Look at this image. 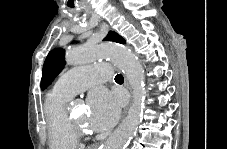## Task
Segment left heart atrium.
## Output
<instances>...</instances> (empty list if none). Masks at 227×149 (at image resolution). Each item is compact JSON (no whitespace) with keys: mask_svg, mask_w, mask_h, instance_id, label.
Masks as SVG:
<instances>
[{"mask_svg":"<svg viewBox=\"0 0 227 149\" xmlns=\"http://www.w3.org/2000/svg\"><path fill=\"white\" fill-rule=\"evenodd\" d=\"M91 117L89 119L92 129L105 131L117 121L120 113V101L110 92L97 89L92 92L89 99Z\"/></svg>","mask_w":227,"mask_h":149,"instance_id":"39dd6f15","label":"left heart atrium"}]
</instances>
